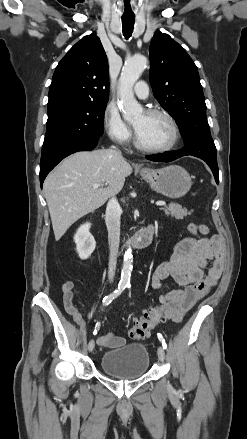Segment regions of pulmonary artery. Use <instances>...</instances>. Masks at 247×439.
I'll use <instances>...</instances> for the list:
<instances>
[{"mask_svg": "<svg viewBox=\"0 0 247 439\" xmlns=\"http://www.w3.org/2000/svg\"><path fill=\"white\" fill-rule=\"evenodd\" d=\"M135 95L140 99H146L149 95V89L145 82L140 81L134 87Z\"/></svg>", "mask_w": 247, "mask_h": 439, "instance_id": "obj_1", "label": "pulmonary artery"}]
</instances>
